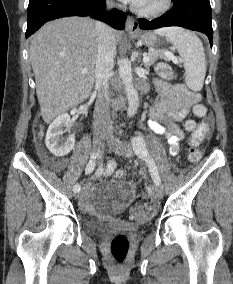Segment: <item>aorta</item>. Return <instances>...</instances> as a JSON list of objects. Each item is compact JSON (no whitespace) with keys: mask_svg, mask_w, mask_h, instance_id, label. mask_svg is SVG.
<instances>
[{"mask_svg":"<svg viewBox=\"0 0 233 284\" xmlns=\"http://www.w3.org/2000/svg\"><path fill=\"white\" fill-rule=\"evenodd\" d=\"M118 73L119 78L125 87V94L128 100V116L132 117L138 110L139 97L133 85L131 61L128 58H125L120 62Z\"/></svg>","mask_w":233,"mask_h":284,"instance_id":"obj_1","label":"aorta"}]
</instances>
